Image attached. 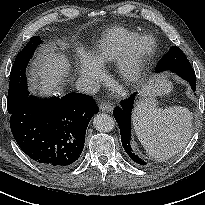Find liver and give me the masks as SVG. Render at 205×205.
Returning <instances> with one entry per match:
<instances>
[{"instance_id":"obj_1","label":"liver","mask_w":205,"mask_h":205,"mask_svg":"<svg viewBox=\"0 0 205 205\" xmlns=\"http://www.w3.org/2000/svg\"><path fill=\"white\" fill-rule=\"evenodd\" d=\"M38 61L34 62L31 70V81L38 83L37 89L40 93L50 94L59 87L62 77L67 73L69 62L64 55H58L48 49H42ZM162 85L166 91L169 84L163 77L151 80L143 91L153 90Z\"/></svg>"}]
</instances>
